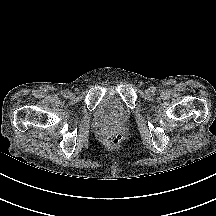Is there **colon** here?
<instances>
[{
  "instance_id": "5ec220e1",
  "label": "colon",
  "mask_w": 216,
  "mask_h": 216,
  "mask_svg": "<svg viewBox=\"0 0 216 216\" xmlns=\"http://www.w3.org/2000/svg\"><path fill=\"white\" fill-rule=\"evenodd\" d=\"M122 141V135L119 132H112L106 137V143L109 146H116Z\"/></svg>"
}]
</instances>
